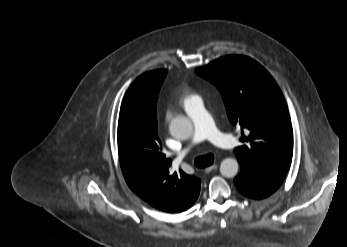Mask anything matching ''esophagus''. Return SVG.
<instances>
[{"label":"esophagus","mask_w":347,"mask_h":247,"mask_svg":"<svg viewBox=\"0 0 347 247\" xmlns=\"http://www.w3.org/2000/svg\"><path fill=\"white\" fill-rule=\"evenodd\" d=\"M217 167H218L217 164H213V165H211V166L205 168V172H206V173H209V172H211L212 170L217 169Z\"/></svg>","instance_id":"esophagus-1"}]
</instances>
